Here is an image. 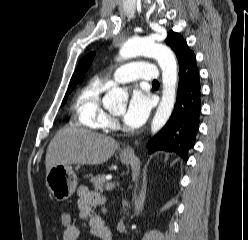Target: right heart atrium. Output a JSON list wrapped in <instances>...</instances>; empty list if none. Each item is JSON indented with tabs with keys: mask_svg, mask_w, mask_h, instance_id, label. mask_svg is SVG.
<instances>
[{
	"mask_svg": "<svg viewBox=\"0 0 248 240\" xmlns=\"http://www.w3.org/2000/svg\"><path fill=\"white\" fill-rule=\"evenodd\" d=\"M114 124H115L114 123V120L109 117V119H108V126H113Z\"/></svg>",
	"mask_w": 248,
	"mask_h": 240,
	"instance_id": "right-heart-atrium-1",
	"label": "right heart atrium"
}]
</instances>
